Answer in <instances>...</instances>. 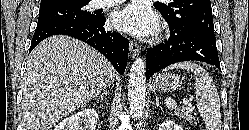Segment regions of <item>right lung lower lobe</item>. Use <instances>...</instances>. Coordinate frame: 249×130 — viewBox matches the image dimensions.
Returning <instances> with one entry per match:
<instances>
[{
	"instance_id": "obj_1",
	"label": "right lung lower lobe",
	"mask_w": 249,
	"mask_h": 130,
	"mask_svg": "<svg viewBox=\"0 0 249 130\" xmlns=\"http://www.w3.org/2000/svg\"><path fill=\"white\" fill-rule=\"evenodd\" d=\"M105 17L96 15L85 22H64L37 27L30 51L42 40L53 35H67L79 39L98 50L123 74L127 65L129 42L120 33L104 30Z\"/></svg>"
}]
</instances>
